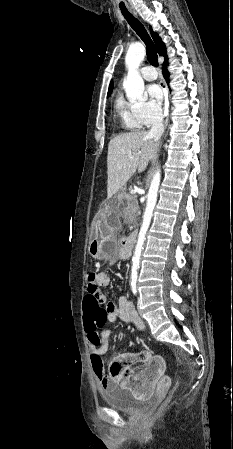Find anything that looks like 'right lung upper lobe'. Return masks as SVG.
<instances>
[{"instance_id": "1", "label": "right lung upper lobe", "mask_w": 233, "mask_h": 449, "mask_svg": "<svg viewBox=\"0 0 233 449\" xmlns=\"http://www.w3.org/2000/svg\"><path fill=\"white\" fill-rule=\"evenodd\" d=\"M150 33H151V36H152V38H153V40H154V42L156 44L157 51H158L159 55L165 57L164 63H166L168 61V58H167V55H166L165 44L161 41V38L158 36V34L156 32H154L152 30L151 27H150ZM112 90H113V82L111 81L110 85H109V89H108V94L109 93L111 94Z\"/></svg>"}]
</instances>
